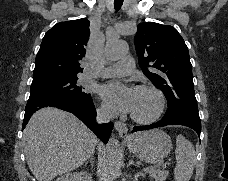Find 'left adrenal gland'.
I'll list each match as a JSON object with an SVG mask.
<instances>
[{
    "label": "left adrenal gland",
    "instance_id": "left-adrenal-gland-1",
    "mask_svg": "<svg viewBox=\"0 0 228 181\" xmlns=\"http://www.w3.org/2000/svg\"><path fill=\"white\" fill-rule=\"evenodd\" d=\"M133 159H134V157H131L127 167H130V165H134V167H138V165H136V163H134Z\"/></svg>",
    "mask_w": 228,
    "mask_h": 181
}]
</instances>
